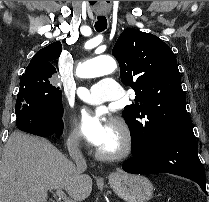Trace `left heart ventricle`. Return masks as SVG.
<instances>
[{
	"instance_id": "left-heart-ventricle-1",
	"label": "left heart ventricle",
	"mask_w": 209,
	"mask_h": 202,
	"mask_svg": "<svg viewBox=\"0 0 209 202\" xmlns=\"http://www.w3.org/2000/svg\"><path fill=\"white\" fill-rule=\"evenodd\" d=\"M121 143L120 133L117 128L111 124L109 133L102 143V145L98 148L102 151L112 152L115 151Z\"/></svg>"
}]
</instances>
